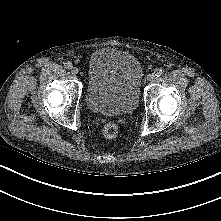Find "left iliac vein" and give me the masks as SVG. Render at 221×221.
Masks as SVG:
<instances>
[{
	"instance_id": "obj_1",
	"label": "left iliac vein",
	"mask_w": 221,
	"mask_h": 221,
	"mask_svg": "<svg viewBox=\"0 0 221 221\" xmlns=\"http://www.w3.org/2000/svg\"><path fill=\"white\" fill-rule=\"evenodd\" d=\"M155 78H156V76H155L154 73H149V74L147 75V80H148V81H154Z\"/></svg>"
}]
</instances>
